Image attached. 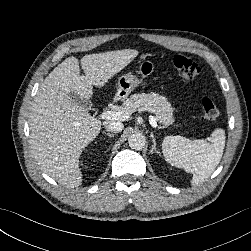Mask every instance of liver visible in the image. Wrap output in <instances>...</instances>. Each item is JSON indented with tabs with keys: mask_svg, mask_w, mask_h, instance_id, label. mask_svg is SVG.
I'll return each mask as SVG.
<instances>
[{
	"mask_svg": "<svg viewBox=\"0 0 251 251\" xmlns=\"http://www.w3.org/2000/svg\"><path fill=\"white\" fill-rule=\"evenodd\" d=\"M137 50L124 49L81 58L68 57L46 77L32 105L30 145L42 171L67 187L82 183L79 158L101 130L102 123L75 103L70 93L81 99L93 96V86L103 87L126 67Z\"/></svg>",
	"mask_w": 251,
	"mask_h": 251,
	"instance_id": "obj_1",
	"label": "liver"
}]
</instances>
